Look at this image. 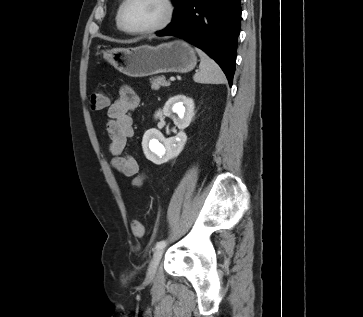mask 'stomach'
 <instances>
[{
    "mask_svg": "<svg viewBox=\"0 0 363 317\" xmlns=\"http://www.w3.org/2000/svg\"><path fill=\"white\" fill-rule=\"evenodd\" d=\"M103 58L115 69L131 77L168 72L187 73L197 64L194 49L182 40L158 46L116 48L103 52Z\"/></svg>",
    "mask_w": 363,
    "mask_h": 317,
    "instance_id": "obj_1",
    "label": "stomach"
}]
</instances>
